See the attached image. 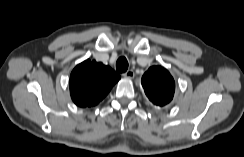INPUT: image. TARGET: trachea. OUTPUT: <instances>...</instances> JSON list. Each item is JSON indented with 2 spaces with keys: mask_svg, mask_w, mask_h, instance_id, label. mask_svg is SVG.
<instances>
[{
  "mask_svg": "<svg viewBox=\"0 0 244 157\" xmlns=\"http://www.w3.org/2000/svg\"><path fill=\"white\" fill-rule=\"evenodd\" d=\"M128 69V61L125 57H120L116 62V70L118 72H126Z\"/></svg>",
  "mask_w": 244,
  "mask_h": 157,
  "instance_id": "trachea-1",
  "label": "trachea"
}]
</instances>
